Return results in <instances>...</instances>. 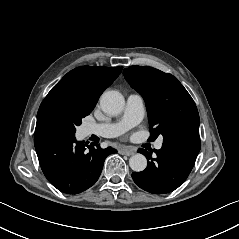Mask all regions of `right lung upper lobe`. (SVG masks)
I'll return each mask as SVG.
<instances>
[{"mask_svg": "<svg viewBox=\"0 0 239 239\" xmlns=\"http://www.w3.org/2000/svg\"><path fill=\"white\" fill-rule=\"evenodd\" d=\"M121 67L81 66L67 73L52 89L64 91L95 107L102 92L118 77Z\"/></svg>", "mask_w": 239, "mask_h": 239, "instance_id": "1", "label": "right lung upper lobe"}]
</instances>
